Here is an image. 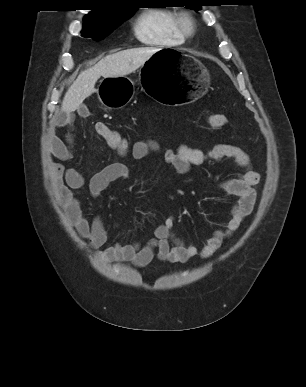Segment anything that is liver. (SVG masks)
Instances as JSON below:
<instances>
[{
	"label": "liver",
	"mask_w": 306,
	"mask_h": 387,
	"mask_svg": "<svg viewBox=\"0 0 306 387\" xmlns=\"http://www.w3.org/2000/svg\"><path fill=\"white\" fill-rule=\"evenodd\" d=\"M159 49L142 47L127 49L107 55L93 67L81 72L66 92L61 110L70 113L81 106L83 101L96 92L95 83L104 78H118L128 75L141 67Z\"/></svg>",
	"instance_id": "obj_1"
}]
</instances>
